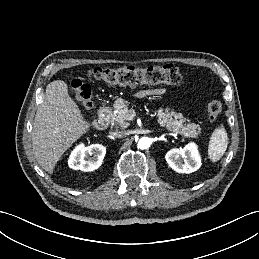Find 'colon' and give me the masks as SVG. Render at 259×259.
<instances>
[{
    "instance_id": "5ec220e1",
    "label": "colon",
    "mask_w": 259,
    "mask_h": 259,
    "mask_svg": "<svg viewBox=\"0 0 259 259\" xmlns=\"http://www.w3.org/2000/svg\"><path fill=\"white\" fill-rule=\"evenodd\" d=\"M88 77L110 86L141 87L159 84L175 85L181 81V72L176 64L161 66H123L95 67L88 71ZM71 90L83 109L89 111L93 107L91 88L81 80L71 82ZM222 111V104L214 99L206 104V115L210 121H216Z\"/></svg>"
}]
</instances>
